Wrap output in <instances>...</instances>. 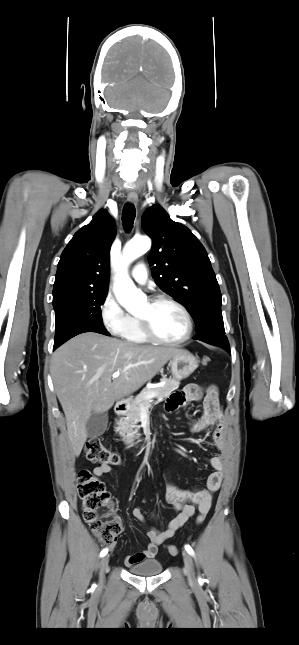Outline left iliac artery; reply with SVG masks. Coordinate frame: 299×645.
I'll return each mask as SVG.
<instances>
[{
  "label": "left iliac artery",
  "mask_w": 299,
  "mask_h": 645,
  "mask_svg": "<svg viewBox=\"0 0 299 645\" xmlns=\"http://www.w3.org/2000/svg\"><path fill=\"white\" fill-rule=\"evenodd\" d=\"M185 550L192 556H194V551L190 545H185Z\"/></svg>",
  "instance_id": "obj_1"
}]
</instances>
